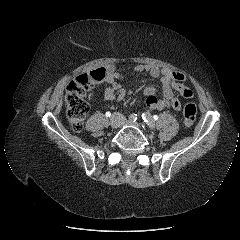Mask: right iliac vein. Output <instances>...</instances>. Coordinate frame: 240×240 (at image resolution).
I'll use <instances>...</instances> for the list:
<instances>
[{
	"label": "right iliac vein",
	"instance_id": "63e3f726",
	"mask_svg": "<svg viewBox=\"0 0 240 240\" xmlns=\"http://www.w3.org/2000/svg\"><path fill=\"white\" fill-rule=\"evenodd\" d=\"M121 124V119L117 115H113L110 119V126L112 128H118Z\"/></svg>",
	"mask_w": 240,
	"mask_h": 240
}]
</instances>
